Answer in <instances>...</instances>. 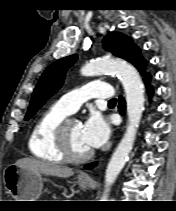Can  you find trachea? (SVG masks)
<instances>
[{
	"mask_svg": "<svg viewBox=\"0 0 176 211\" xmlns=\"http://www.w3.org/2000/svg\"><path fill=\"white\" fill-rule=\"evenodd\" d=\"M116 102H117L116 98H113L109 101V104H116Z\"/></svg>",
	"mask_w": 176,
	"mask_h": 211,
	"instance_id": "3493384b",
	"label": "trachea"
}]
</instances>
